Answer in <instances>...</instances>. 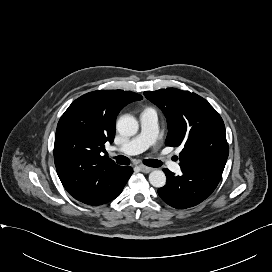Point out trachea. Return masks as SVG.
<instances>
[{"label":"trachea","mask_w":272,"mask_h":272,"mask_svg":"<svg viewBox=\"0 0 272 272\" xmlns=\"http://www.w3.org/2000/svg\"><path fill=\"white\" fill-rule=\"evenodd\" d=\"M116 162L120 165H129L130 164V159L126 156L119 155L115 157ZM143 163L149 167H160L162 163L158 160L155 159H145Z\"/></svg>","instance_id":"1"}]
</instances>
